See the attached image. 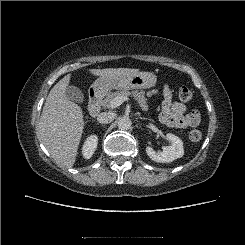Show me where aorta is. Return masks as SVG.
Segmentation results:
<instances>
[{
	"mask_svg": "<svg viewBox=\"0 0 245 245\" xmlns=\"http://www.w3.org/2000/svg\"><path fill=\"white\" fill-rule=\"evenodd\" d=\"M132 122L128 117L120 118L118 121V128L120 130H128L131 128Z\"/></svg>",
	"mask_w": 245,
	"mask_h": 245,
	"instance_id": "1",
	"label": "aorta"
}]
</instances>
